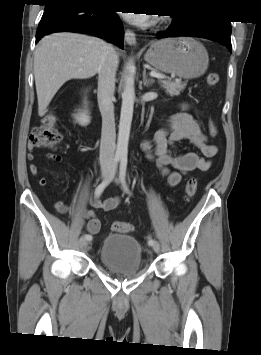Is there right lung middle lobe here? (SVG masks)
<instances>
[{
  "mask_svg": "<svg viewBox=\"0 0 261 355\" xmlns=\"http://www.w3.org/2000/svg\"><path fill=\"white\" fill-rule=\"evenodd\" d=\"M89 2H96V1H98V0H88Z\"/></svg>",
  "mask_w": 261,
  "mask_h": 355,
  "instance_id": "1",
  "label": "right lung middle lobe"
}]
</instances>
